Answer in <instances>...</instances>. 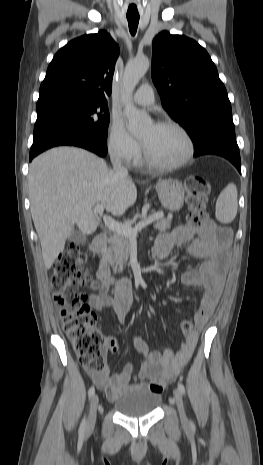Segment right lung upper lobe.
Segmentation results:
<instances>
[{
    "label": "right lung upper lobe",
    "mask_w": 263,
    "mask_h": 465,
    "mask_svg": "<svg viewBox=\"0 0 263 465\" xmlns=\"http://www.w3.org/2000/svg\"><path fill=\"white\" fill-rule=\"evenodd\" d=\"M118 55V45L103 30L70 41L51 61L38 101L76 97L106 102Z\"/></svg>",
    "instance_id": "1"
}]
</instances>
